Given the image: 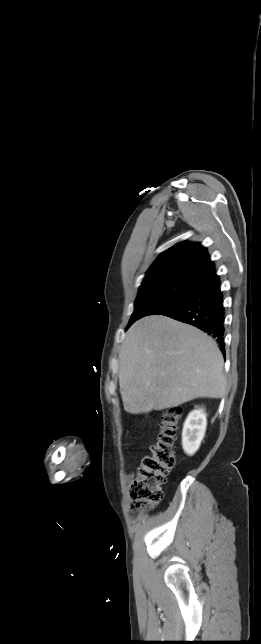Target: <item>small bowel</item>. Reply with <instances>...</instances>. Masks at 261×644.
<instances>
[{
	"instance_id": "1",
	"label": "small bowel",
	"mask_w": 261,
	"mask_h": 644,
	"mask_svg": "<svg viewBox=\"0 0 261 644\" xmlns=\"http://www.w3.org/2000/svg\"><path fill=\"white\" fill-rule=\"evenodd\" d=\"M133 477V475L130 473L127 475V479L130 480Z\"/></svg>"
}]
</instances>
